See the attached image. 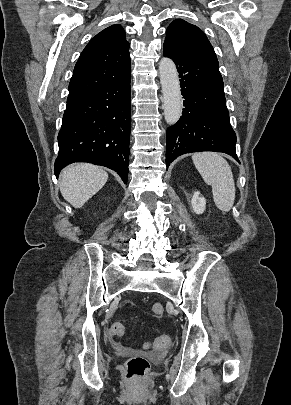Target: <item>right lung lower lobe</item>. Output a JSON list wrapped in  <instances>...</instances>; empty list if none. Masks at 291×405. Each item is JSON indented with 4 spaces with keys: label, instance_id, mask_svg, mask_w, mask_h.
Segmentation results:
<instances>
[{
    "label": "right lung lower lobe",
    "instance_id": "1",
    "mask_svg": "<svg viewBox=\"0 0 291 405\" xmlns=\"http://www.w3.org/2000/svg\"><path fill=\"white\" fill-rule=\"evenodd\" d=\"M130 73L67 102L54 171L90 162L116 171L127 184L131 127Z\"/></svg>",
    "mask_w": 291,
    "mask_h": 405
}]
</instances>
